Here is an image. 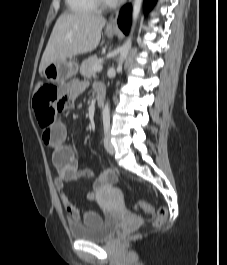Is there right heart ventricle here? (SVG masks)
Masks as SVG:
<instances>
[{
  "instance_id": "right-heart-ventricle-1",
  "label": "right heart ventricle",
  "mask_w": 227,
  "mask_h": 265,
  "mask_svg": "<svg viewBox=\"0 0 227 265\" xmlns=\"http://www.w3.org/2000/svg\"><path fill=\"white\" fill-rule=\"evenodd\" d=\"M66 6L71 13L87 14L96 10L94 0H65Z\"/></svg>"
}]
</instances>
